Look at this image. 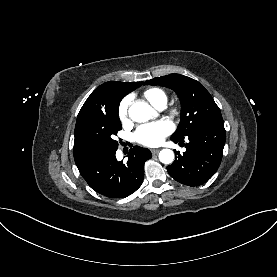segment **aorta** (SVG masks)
<instances>
[{
	"label": "aorta",
	"instance_id": "762f6f07",
	"mask_svg": "<svg viewBox=\"0 0 277 277\" xmlns=\"http://www.w3.org/2000/svg\"><path fill=\"white\" fill-rule=\"evenodd\" d=\"M129 117L135 122L148 121L155 111L145 102H135L129 108ZM159 160L164 164H170L174 160V152L170 149H163L159 153Z\"/></svg>",
	"mask_w": 277,
	"mask_h": 277
}]
</instances>
